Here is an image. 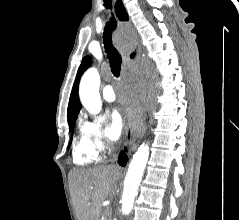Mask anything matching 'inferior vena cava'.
<instances>
[{"label":"inferior vena cava","instance_id":"602c4592","mask_svg":"<svg viewBox=\"0 0 239 220\" xmlns=\"http://www.w3.org/2000/svg\"><path fill=\"white\" fill-rule=\"evenodd\" d=\"M107 149L109 150V152L114 150V144L111 142H107Z\"/></svg>","mask_w":239,"mask_h":220}]
</instances>
